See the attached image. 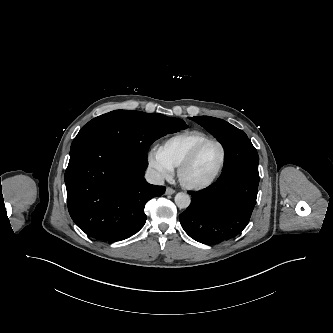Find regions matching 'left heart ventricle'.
Instances as JSON below:
<instances>
[{"label": "left heart ventricle", "instance_id": "1", "mask_svg": "<svg viewBox=\"0 0 333 333\" xmlns=\"http://www.w3.org/2000/svg\"><path fill=\"white\" fill-rule=\"evenodd\" d=\"M221 151L216 144H207L198 153L193 164L186 171V178L200 182L209 178L219 164Z\"/></svg>", "mask_w": 333, "mask_h": 333}]
</instances>
